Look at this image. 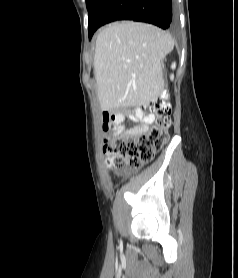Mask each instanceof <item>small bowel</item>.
Masks as SVG:
<instances>
[{
	"label": "small bowel",
	"mask_w": 238,
	"mask_h": 278,
	"mask_svg": "<svg viewBox=\"0 0 238 278\" xmlns=\"http://www.w3.org/2000/svg\"><path fill=\"white\" fill-rule=\"evenodd\" d=\"M103 126L106 125L107 129L105 131L111 130L113 134L123 131H137L141 129H146L149 124L154 121L153 114H145L141 109L136 108L130 118L137 122V125L133 128L126 129L123 125L125 120V115L119 112H104L102 115Z\"/></svg>",
	"instance_id": "1"
}]
</instances>
